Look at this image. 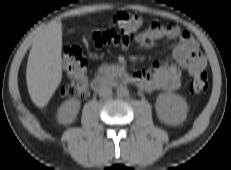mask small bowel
I'll use <instances>...</instances> for the list:
<instances>
[{
	"instance_id": "c3829d8e",
	"label": "small bowel",
	"mask_w": 231,
	"mask_h": 170,
	"mask_svg": "<svg viewBox=\"0 0 231 170\" xmlns=\"http://www.w3.org/2000/svg\"><path fill=\"white\" fill-rule=\"evenodd\" d=\"M161 39L178 40L171 54L174 63H154L148 69L135 72L132 77L134 83L147 91L177 90L182 86L184 74L194 75L206 66L205 57L189 31L175 23L153 22L135 37L122 35L115 29L92 34V41L98 47L113 45L123 49L132 44L151 47Z\"/></svg>"
}]
</instances>
